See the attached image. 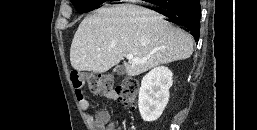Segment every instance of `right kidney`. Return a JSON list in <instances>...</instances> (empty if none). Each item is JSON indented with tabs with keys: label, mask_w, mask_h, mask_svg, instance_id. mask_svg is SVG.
I'll return each mask as SVG.
<instances>
[{
	"label": "right kidney",
	"mask_w": 257,
	"mask_h": 130,
	"mask_svg": "<svg viewBox=\"0 0 257 130\" xmlns=\"http://www.w3.org/2000/svg\"><path fill=\"white\" fill-rule=\"evenodd\" d=\"M173 73L167 67H156L147 73L141 82L138 107L146 122L157 120L169 101V89Z\"/></svg>",
	"instance_id": "obj_1"
}]
</instances>
